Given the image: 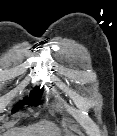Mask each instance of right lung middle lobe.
Returning a JSON list of instances; mask_svg holds the SVG:
<instances>
[{
	"instance_id": "dd1d6c3e",
	"label": "right lung middle lobe",
	"mask_w": 117,
	"mask_h": 136,
	"mask_svg": "<svg viewBox=\"0 0 117 136\" xmlns=\"http://www.w3.org/2000/svg\"><path fill=\"white\" fill-rule=\"evenodd\" d=\"M41 89L40 88H36L35 90L32 91L30 98L29 99H25L24 101L19 102V104L15 107V109L12 112H16L18 110L19 107L28 104V105H35L39 102L40 97H41Z\"/></svg>"
}]
</instances>
